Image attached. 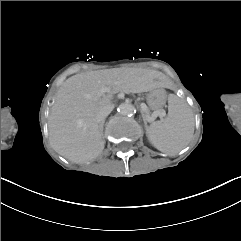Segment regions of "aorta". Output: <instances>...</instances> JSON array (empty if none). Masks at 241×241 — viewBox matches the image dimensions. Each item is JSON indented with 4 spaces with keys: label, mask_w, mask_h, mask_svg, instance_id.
<instances>
[{
    "label": "aorta",
    "mask_w": 241,
    "mask_h": 241,
    "mask_svg": "<svg viewBox=\"0 0 241 241\" xmlns=\"http://www.w3.org/2000/svg\"><path fill=\"white\" fill-rule=\"evenodd\" d=\"M118 110L123 116H132L135 112V107L131 103L125 102L120 104Z\"/></svg>",
    "instance_id": "obj_1"
}]
</instances>
